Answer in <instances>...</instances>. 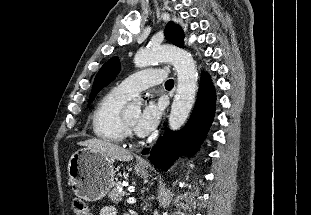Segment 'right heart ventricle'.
I'll return each instance as SVG.
<instances>
[{
    "label": "right heart ventricle",
    "mask_w": 311,
    "mask_h": 215,
    "mask_svg": "<svg viewBox=\"0 0 311 215\" xmlns=\"http://www.w3.org/2000/svg\"><path fill=\"white\" fill-rule=\"evenodd\" d=\"M129 98L115 87L97 103L92 115V128L99 139L109 143H121L125 139L127 130L122 113Z\"/></svg>",
    "instance_id": "e07e8e85"
}]
</instances>
